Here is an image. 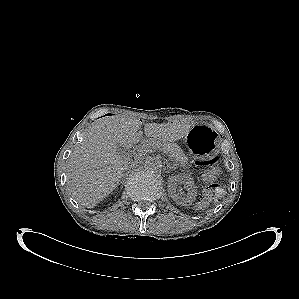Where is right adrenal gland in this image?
<instances>
[{
  "label": "right adrenal gland",
  "instance_id": "2a0ac1e0",
  "mask_svg": "<svg viewBox=\"0 0 299 299\" xmlns=\"http://www.w3.org/2000/svg\"><path fill=\"white\" fill-rule=\"evenodd\" d=\"M127 173H128V172L123 173V175H122V179L120 180L121 183H122V181H123V178H125V177L127 176Z\"/></svg>",
  "mask_w": 299,
  "mask_h": 299
}]
</instances>
